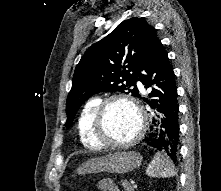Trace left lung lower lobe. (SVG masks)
<instances>
[{
    "label": "left lung lower lobe",
    "mask_w": 221,
    "mask_h": 191,
    "mask_svg": "<svg viewBox=\"0 0 221 191\" xmlns=\"http://www.w3.org/2000/svg\"><path fill=\"white\" fill-rule=\"evenodd\" d=\"M146 88L154 85L150 97L161 113V128L156 129L148 139V145L177 160L179 146V105L174 71L162 43L155 38L143 63L138 78ZM149 103V102H148ZM151 106L152 104L149 103Z\"/></svg>",
    "instance_id": "1"
}]
</instances>
